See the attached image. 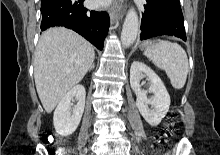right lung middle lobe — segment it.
I'll use <instances>...</instances> for the list:
<instances>
[{
  "instance_id": "obj_1",
  "label": "right lung middle lobe",
  "mask_w": 220,
  "mask_h": 155,
  "mask_svg": "<svg viewBox=\"0 0 220 155\" xmlns=\"http://www.w3.org/2000/svg\"><path fill=\"white\" fill-rule=\"evenodd\" d=\"M46 1H48V0H41V4L44 3V2H46Z\"/></svg>"
}]
</instances>
